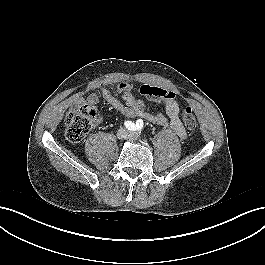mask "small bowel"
Wrapping results in <instances>:
<instances>
[{
  "mask_svg": "<svg viewBox=\"0 0 265 265\" xmlns=\"http://www.w3.org/2000/svg\"><path fill=\"white\" fill-rule=\"evenodd\" d=\"M167 91L173 96L162 100L165 105V114L149 112L144 102L133 95L131 87L127 83L119 84L113 91L104 88L100 91V96L126 117L139 118L160 126L170 125L172 130L184 139L187 132L179 118V105L175 93L170 90ZM84 101L95 105L99 102V95L91 93L85 100L79 99L80 103Z\"/></svg>",
  "mask_w": 265,
  "mask_h": 265,
  "instance_id": "small-bowel-1",
  "label": "small bowel"
}]
</instances>
